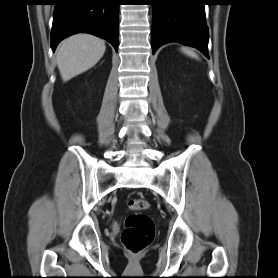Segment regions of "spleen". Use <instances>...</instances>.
<instances>
[{
	"label": "spleen",
	"mask_w": 278,
	"mask_h": 278,
	"mask_svg": "<svg viewBox=\"0 0 278 278\" xmlns=\"http://www.w3.org/2000/svg\"><path fill=\"white\" fill-rule=\"evenodd\" d=\"M181 51L184 54L188 55L189 57H192V58H195V59H199L198 55L192 49H190L188 47H182Z\"/></svg>",
	"instance_id": "obj_1"
}]
</instances>
